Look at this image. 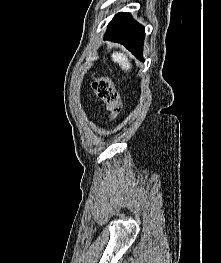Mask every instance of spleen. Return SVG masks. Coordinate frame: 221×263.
Wrapping results in <instances>:
<instances>
[{
    "label": "spleen",
    "instance_id": "3e777b00",
    "mask_svg": "<svg viewBox=\"0 0 221 263\" xmlns=\"http://www.w3.org/2000/svg\"><path fill=\"white\" fill-rule=\"evenodd\" d=\"M112 61L118 63L122 70L129 71L131 69V63L128 60L127 54L123 52H114L112 55Z\"/></svg>",
    "mask_w": 221,
    "mask_h": 263
}]
</instances>
